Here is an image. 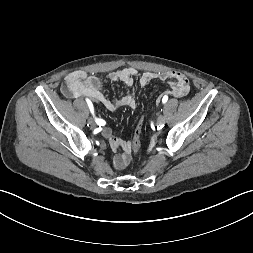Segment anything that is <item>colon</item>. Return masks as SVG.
<instances>
[{"label": "colon", "mask_w": 253, "mask_h": 253, "mask_svg": "<svg viewBox=\"0 0 253 253\" xmlns=\"http://www.w3.org/2000/svg\"><path fill=\"white\" fill-rule=\"evenodd\" d=\"M146 112L143 110L139 117L142 119ZM141 137H142V121H139L135 127L133 137L131 140V148L133 152L137 153L141 148Z\"/></svg>", "instance_id": "colon-1"}]
</instances>
